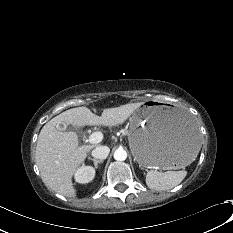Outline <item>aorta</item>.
Listing matches in <instances>:
<instances>
[{"mask_svg":"<svg viewBox=\"0 0 233 233\" xmlns=\"http://www.w3.org/2000/svg\"><path fill=\"white\" fill-rule=\"evenodd\" d=\"M127 158V152L123 148H118L114 152V159L117 161H124Z\"/></svg>","mask_w":233,"mask_h":233,"instance_id":"762f6f07","label":"aorta"}]
</instances>
